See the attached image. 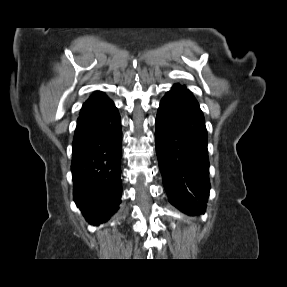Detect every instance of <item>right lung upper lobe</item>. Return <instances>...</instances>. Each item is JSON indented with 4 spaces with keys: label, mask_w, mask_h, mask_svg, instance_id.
<instances>
[{
    "label": "right lung upper lobe",
    "mask_w": 287,
    "mask_h": 287,
    "mask_svg": "<svg viewBox=\"0 0 287 287\" xmlns=\"http://www.w3.org/2000/svg\"><path fill=\"white\" fill-rule=\"evenodd\" d=\"M110 101V99L102 92L96 91L90 98L83 104L81 112L89 111L99 107Z\"/></svg>",
    "instance_id": "cb5924a9"
}]
</instances>
